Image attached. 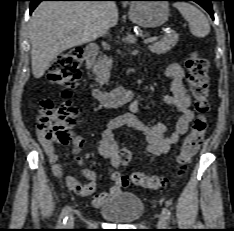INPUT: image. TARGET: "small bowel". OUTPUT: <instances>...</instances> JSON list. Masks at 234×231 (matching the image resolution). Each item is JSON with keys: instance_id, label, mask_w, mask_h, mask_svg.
Segmentation results:
<instances>
[{"instance_id": "small-bowel-1", "label": "small bowel", "mask_w": 234, "mask_h": 231, "mask_svg": "<svg viewBox=\"0 0 234 231\" xmlns=\"http://www.w3.org/2000/svg\"><path fill=\"white\" fill-rule=\"evenodd\" d=\"M166 75L171 80V93L163 97L164 103L173 106L179 113L175 129L169 135H166L168 126L164 122H158L153 125L139 120L135 113L138 111L140 99L130 105V112L112 118L104 129L98 142L99 154L109 161L108 176L112 185L108 191L97 193V176L96 173L88 168H80V174L85 182L79 181L74 176H65L58 157L51 145L41 134V143L51 163L53 174L62 179L67 189L74 191L82 197H91L94 207H101L109 200L121 193L122 188L126 185L127 179L118 172L120 161L118 158L119 145L114 137V131L123 126H127L144 136L146 141V150L152 155L160 156L166 154L175 146L182 135L189 130L190 123L194 114L190 108V98L186 94L183 84L184 72L177 63L170 64L166 69ZM84 141L78 137L74 141V156L79 165L82 160L79 157V151L83 147Z\"/></svg>"}]
</instances>
